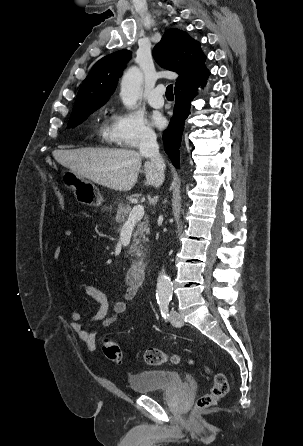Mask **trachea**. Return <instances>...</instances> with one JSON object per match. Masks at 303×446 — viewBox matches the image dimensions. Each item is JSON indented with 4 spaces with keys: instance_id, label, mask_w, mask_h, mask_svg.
I'll return each mask as SVG.
<instances>
[{
    "instance_id": "obj_1",
    "label": "trachea",
    "mask_w": 303,
    "mask_h": 446,
    "mask_svg": "<svg viewBox=\"0 0 303 446\" xmlns=\"http://www.w3.org/2000/svg\"><path fill=\"white\" fill-rule=\"evenodd\" d=\"M166 97H174L173 95V84H170L166 88Z\"/></svg>"
}]
</instances>
